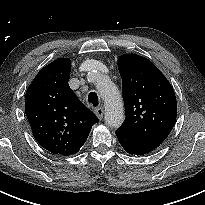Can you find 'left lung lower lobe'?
<instances>
[{"label":"left lung lower lobe","instance_id":"0a47b994","mask_svg":"<svg viewBox=\"0 0 205 205\" xmlns=\"http://www.w3.org/2000/svg\"><path fill=\"white\" fill-rule=\"evenodd\" d=\"M115 133L122 147L131 155H144L153 151L160 145L159 143L127 132L122 128L117 129Z\"/></svg>","mask_w":205,"mask_h":205}]
</instances>
